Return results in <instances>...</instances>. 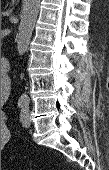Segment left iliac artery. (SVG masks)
<instances>
[{
	"instance_id": "left-iliac-artery-1",
	"label": "left iliac artery",
	"mask_w": 109,
	"mask_h": 170,
	"mask_svg": "<svg viewBox=\"0 0 109 170\" xmlns=\"http://www.w3.org/2000/svg\"><path fill=\"white\" fill-rule=\"evenodd\" d=\"M26 113H28V108L25 106V107L22 108V111H21V117H20L21 120Z\"/></svg>"
}]
</instances>
